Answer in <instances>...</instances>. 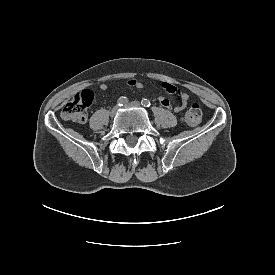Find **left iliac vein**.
Returning a JSON list of instances; mask_svg holds the SVG:
<instances>
[{"label": "left iliac vein", "mask_w": 275, "mask_h": 275, "mask_svg": "<svg viewBox=\"0 0 275 275\" xmlns=\"http://www.w3.org/2000/svg\"><path fill=\"white\" fill-rule=\"evenodd\" d=\"M127 107H133V106H140V103L138 101H133L130 103L125 104Z\"/></svg>", "instance_id": "obj_1"}]
</instances>
